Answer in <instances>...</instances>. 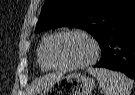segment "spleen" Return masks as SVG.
<instances>
[{
  "mask_svg": "<svg viewBox=\"0 0 135 95\" xmlns=\"http://www.w3.org/2000/svg\"><path fill=\"white\" fill-rule=\"evenodd\" d=\"M87 71L97 79L105 95H130L133 82L124 74L104 68H88Z\"/></svg>",
  "mask_w": 135,
  "mask_h": 95,
  "instance_id": "spleen-1",
  "label": "spleen"
}]
</instances>
